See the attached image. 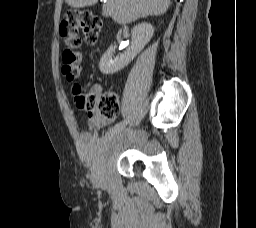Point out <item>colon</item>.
Wrapping results in <instances>:
<instances>
[{"label":"colon","instance_id":"5ec220e1","mask_svg":"<svg viewBox=\"0 0 256 228\" xmlns=\"http://www.w3.org/2000/svg\"><path fill=\"white\" fill-rule=\"evenodd\" d=\"M101 20L91 11H70L60 24V34L65 50L62 55V73L68 80L76 79L81 71L79 48L82 40L80 31L89 44H95L101 34ZM75 103L89 116H100L113 119L119 112V101L115 92L109 91L100 95L86 93L80 85L73 89Z\"/></svg>","mask_w":256,"mask_h":228}]
</instances>
